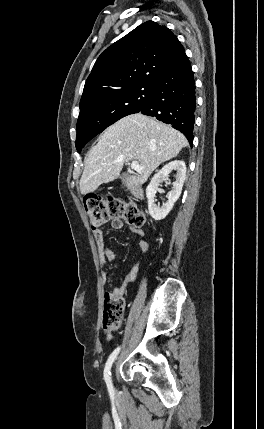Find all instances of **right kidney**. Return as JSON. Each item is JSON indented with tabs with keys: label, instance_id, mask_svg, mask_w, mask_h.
Returning a JSON list of instances; mask_svg holds the SVG:
<instances>
[{
	"label": "right kidney",
	"instance_id": "obj_1",
	"mask_svg": "<svg viewBox=\"0 0 264 429\" xmlns=\"http://www.w3.org/2000/svg\"><path fill=\"white\" fill-rule=\"evenodd\" d=\"M175 170L176 181L172 184V190L167 195L168 202L163 203L160 207L156 204L155 194L157 192L158 186L162 182H167L169 180V173ZM186 177V165L182 160H174L166 164L158 173H156L151 179L150 184L146 189V197L148 200V210L151 217L154 220L164 219L169 212L172 210L174 203L179 199L182 187Z\"/></svg>",
	"mask_w": 264,
	"mask_h": 429
}]
</instances>
